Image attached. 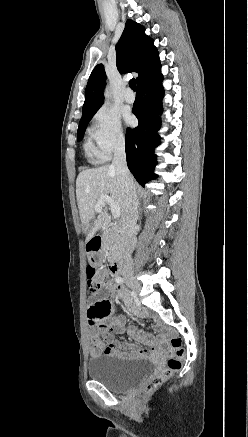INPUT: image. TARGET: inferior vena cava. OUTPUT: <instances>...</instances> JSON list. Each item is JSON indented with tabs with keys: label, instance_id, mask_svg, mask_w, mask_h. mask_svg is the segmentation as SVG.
Segmentation results:
<instances>
[{
	"label": "inferior vena cava",
	"instance_id": "1",
	"mask_svg": "<svg viewBox=\"0 0 248 437\" xmlns=\"http://www.w3.org/2000/svg\"><path fill=\"white\" fill-rule=\"evenodd\" d=\"M111 166L116 170L118 182L124 192L125 214L122 220V230L125 240L126 265L130 267L132 265L131 254L136 246L134 231L138 219L139 202L134 179L126 163L124 139L118 140L115 144Z\"/></svg>",
	"mask_w": 248,
	"mask_h": 437
}]
</instances>
